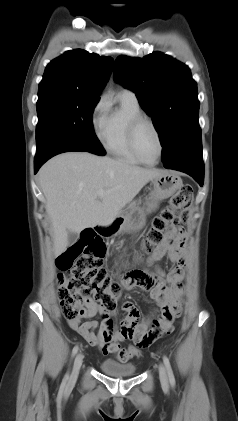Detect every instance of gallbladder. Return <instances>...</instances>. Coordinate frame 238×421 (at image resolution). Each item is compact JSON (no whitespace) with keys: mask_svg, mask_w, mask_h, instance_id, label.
I'll return each mask as SVG.
<instances>
[{"mask_svg":"<svg viewBox=\"0 0 238 421\" xmlns=\"http://www.w3.org/2000/svg\"><path fill=\"white\" fill-rule=\"evenodd\" d=\"M78 240L77 233L74 232H68V244L73 245Z\"/></svg>","mask_w":238,"mask_h":421,"instance_id":"gallbladder-1","label":"gallbladder"}]
</instances>
